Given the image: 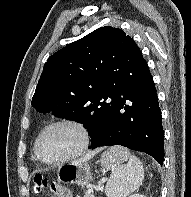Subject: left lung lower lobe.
<instances>
[{
	"mask_svg": "<svg viewBox=\"0 0 191 197\" xmlns=\"http://www.w3.org/2000/svg\"><path fill=\"white\" fill-rule=\"evenodd\" d=\"M161 110L148 68L121 76L119 87L88 119L91 148L122 145L164 160Z\"/></svg>",
	"mask_w": 191,
	"mask_h": 197,
	"instance_id": "left-lung-lower-lobe-1",
	"label": "left lung lower lobe"
}]
</instances>
